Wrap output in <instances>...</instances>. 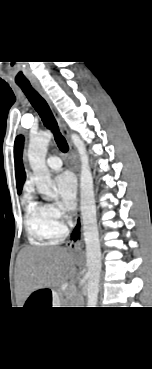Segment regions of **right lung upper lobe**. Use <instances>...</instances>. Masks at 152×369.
Masks as SVG:
<instances>
[{
    "mask_svg": "<svg viewBox=\"0 0 152 369\" xmlns=\"http://www.w3.org/2000/svg\"><path fill=\"white\" fill-rule=\"evenodd\" d=\"M23 142H24L23 136H18L15 140V147H14L16 184H17L18 194L21 193L22 186L25 181V172H24V168L22 164Z\"/></svg>",
    "mask_w": 152,
    "mask_h": 369,
    "instance_id": "1",
    "label": "right lung upper lobe"
}]
</instances>
